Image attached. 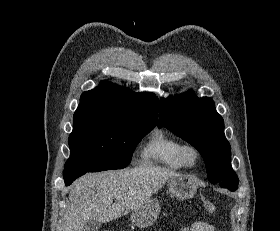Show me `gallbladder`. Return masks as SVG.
I'll return each mask as SVG.
<instances>
[{"label":"gallbladder","mask_w":280,"mask_h":231,"mask_svg":"<svg viewBox=\"0 0 280 231\" xmlns=\"http://www.w3.org/2000/svg\"><path fill=\"white\" fill-rule=\"evenodd\" d=\"M101 227V221H88L86 225H84L83 231H98Z\"/></svg>","instance_id":"obj_1"}]
</instances>
